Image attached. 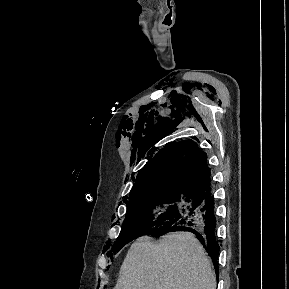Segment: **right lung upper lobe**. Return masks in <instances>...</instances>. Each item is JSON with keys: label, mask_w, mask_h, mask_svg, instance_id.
<instances>
[{"label": "right lung upper lobe", "mask_w": 289, "mask_h": 289, "mask_svg": "<svg viewBox=\"0 0 289 289\" xmlns=\"http://www.w3.org/2000/svg\"><path fill=\"white\" fill-rule=\"evenodd\" d=\"M134 180L130 199L163 193L198 196L211 187L207 155L191 140L160 150Z\"/></svg>", "instance_id": "obj_1"}]
</instances>
